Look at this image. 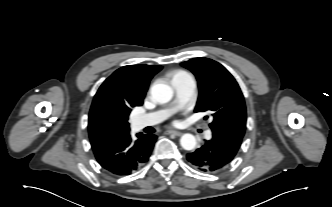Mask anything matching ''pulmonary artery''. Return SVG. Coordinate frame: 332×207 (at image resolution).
<instances>
[{
  "mask_svg": "<svg viewBox=\"0 0 332 207\" xmlns=\"http://www.w3.org/2000/svg\"><path fill=\"white\" fill-rule=\"evenodd\" d=\"M195 92V82L191 76L180 79L175 83L176 99L174 106L169 109L159 110L157 112L148 113L135 118V125L137 128H144L147 126H153L164 119H166L173 111L182 108L188 104ZM206 138L211 137V131L208 130L205 133Z\"/></svg>",
  "mask_w": 332,
  "mask_h": 207,
  "instance_id": "e3ab8cb5",
  "label": "pulmonary artery"
}]
</instances>
